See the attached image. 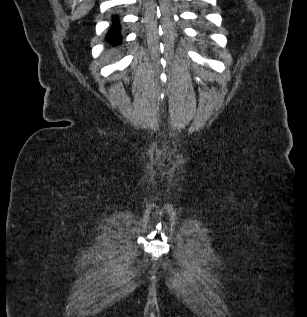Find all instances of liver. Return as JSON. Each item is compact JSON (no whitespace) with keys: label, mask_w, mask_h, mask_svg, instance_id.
Returning a JSON list of instances; mask_svg holds the SVG:
<instances>
[{"label":"liver","mask_w":307,"mask_h":317,"mask_svg":"<svg viewBox=\"0 0 307 317\" xmlns=\"http://www.w3.org/2000/svg\"><path fill=\"white\" fill-rule=\"evenodd\" d=\"M111 56V53H108L107 55H106V58H109Z\"/></svg>","instance_id":"6515ba94"}]
</instances>
